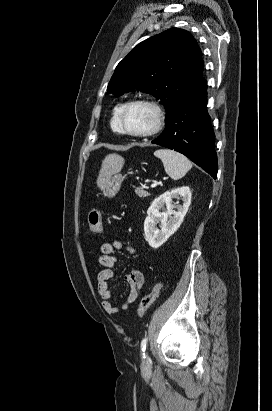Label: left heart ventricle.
<instances>
[{"label": "left heart ventricle", "mask_w": 272, "mask_h": 411, "mask_svg": "<svg viewBox=\"0 0 272 411\" xmlns=\"http://www.w3.org/2000/svg\"><path fill=\"white\" fill-rule=\"evenodd\" d=\"M154 122L153 112L145 106L130 107L124 115L125 128L132 132H141L149 129Z\"/></svg>", "instance_id": "obj_1"}]
</instances>
